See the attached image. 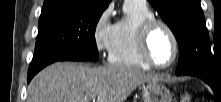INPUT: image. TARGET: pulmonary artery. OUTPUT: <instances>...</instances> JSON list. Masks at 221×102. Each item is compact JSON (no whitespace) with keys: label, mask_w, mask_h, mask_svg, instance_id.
<instances>
[{"label":"pulmonary artery","mask_w":221,"mask_h":102,"mask_svg":"<svg viewBox=\"0 0 221 102\" xmlns=\"http://www.w3.org/2000/svg\"><path fill=\"white\" fill-rule=\"evenodd\" d=\"M126 1H137V2H140V3H146L145 0H126Z\"/></svg>","instance_id":"obj_1"}]
</instances>
